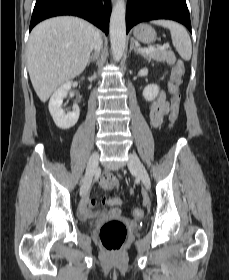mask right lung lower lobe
Masks as SVG:
<instances>
[{"mask_svg": "<svg viewBox=\"0 0 229 280\" xmlns=\"http://www.w3.org/2000/svg\"><path fill=\"white\" fill-rule=\"evenodd\" d=\"M110 0H36L29 31L40 21L60 15L79 16L108 34Z\"/></svg>", "mask_w": 229, "mask_h": 280, "instance_id": "1", "label": "right lung lower lobe"}]
</instances>
